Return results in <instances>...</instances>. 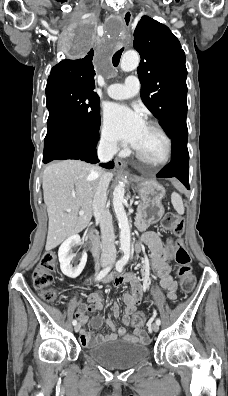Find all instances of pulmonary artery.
<instances>
[{"mask_svg":"<svg viewBox=\"0 0 228 396\" xmlns=\"http://www.w3.org/2000/svg\"><path fill=\"white\" fill-rule=\"evenodd\" d=\"M140 90V83L136 76L130 75L123 84L115 83L108 87L109 97L116 100L129 99L137 95Z\"/></svg>","mask_w":228,"mask_h":396,"instance_id":"e3ab8cb5","label":"pulmonary artery"}]
</instances>
